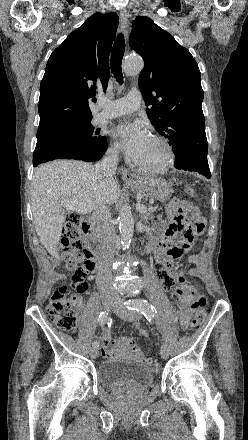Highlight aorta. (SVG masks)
Returning a JSON list of instances; mask_svg holds the SVG:
<instances>
[{"mask_svg": "<svg viewBox=\"0 0 248 440\" xmlns=\"http://www.w3.org/2000/svg\"><path fill=\"white\" fill-rule=\"evenodd\" d=\"M143 67V60L136 56H129L123 63V71L127 76L138 75ZM118 222L121 246L123 249H128L134 233V218L128 204H124L120 207Z\"/></svg>", "mask_w": 248, "mask_h": 440, "instance_id": "762f6f07", "label": "aorta"}]
</instances>
